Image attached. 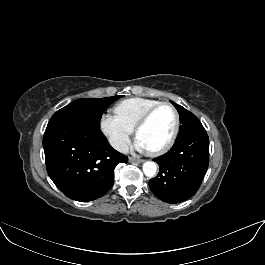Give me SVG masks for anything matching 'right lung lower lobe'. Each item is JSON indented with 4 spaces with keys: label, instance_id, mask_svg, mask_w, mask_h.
<instances>
[{
    "label": "right lung lower lobe",
    "instance_id": "obj_1",
    "mask_svg": "<svg viewBox=\"0 0 265 265\" xmlns=\"http://www.w3.org/2000/svg\"><path fill=\"white\" fill-rule=\"evenodd\" d=\"M43 147L52 181L67 197L81 202L104 195L113 185L116 165L128 161L100 129L74 121L49 122Z\"/></svg>",
    "mask_w": 265,
    "mask_h": 265
}]
</instances>
